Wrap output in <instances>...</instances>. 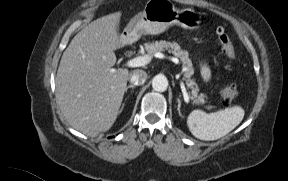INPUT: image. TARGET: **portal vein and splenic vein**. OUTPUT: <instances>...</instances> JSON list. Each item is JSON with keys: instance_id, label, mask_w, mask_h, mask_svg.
Wrapping results in <instances>:
<instances>
[{"instance_id": "obj_1", "label": "portal vein and splenic vein", "mask_w": 288, "mask_h": 181, "mask_svg": "<svg viewBox=\"0 0 288 181\" xmlns=\"http://www.w3.org/2000/svg\"><path fill=\"white\" fill-rule=\"evenodd\" d=\"M155 57L157 58H160V59H164V58H167L169 59L170 61L174 62V63H178V60L177 58H174V57H166L164 54L158 52L154 55ZM151 61V57L148 56V55H145V56H138L136 58H133V59H130L127 61L126 65L128 67H141V66H145L147 64H149ZM181 89H182V93H183V96H184V100L185 102L189 103L190 100H189V96H188V93L186 91V88L184 86L183 83H181Z\"/></svg>"}]
</instances>
